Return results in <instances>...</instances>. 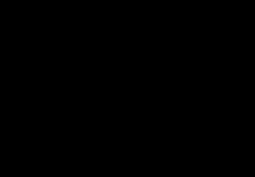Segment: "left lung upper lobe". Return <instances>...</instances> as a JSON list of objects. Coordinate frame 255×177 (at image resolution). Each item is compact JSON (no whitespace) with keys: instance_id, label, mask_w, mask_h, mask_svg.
Wrapping results in <instances>:
<instances>
[{"instance_id":"1","label":"left lung upper lobe","mask_w":255,"mask_h":177,"mask_svg":"<svg viewBox=\"0 0 255 177\" xmlns=\"http://www.w3.org/2000/svg\"><path fill=\"white\" fill-rule=\"evenodd\" d=\"M146 43L156 53L155 79L166 88L160 101L178 106L193 104L197 99V93L201 90L199 73H195L196 60H188L185 49L178 40L160 30H153L144 34ZM172 52L176 56V66L168 70ZM194 76V84L190 93H195V98L182 94L180 80L182 76Z\"/></svg>"}]
</instances>
